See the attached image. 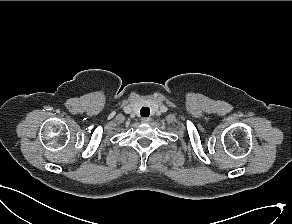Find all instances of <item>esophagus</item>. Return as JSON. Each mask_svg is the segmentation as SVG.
<instances>
[{
  "label": "esophagus",
  "mask_w": 292,
  "mask_h": 224,
  "mask_svg": "<svg viewBox=\"0 0 292 224\" xmlns=\"http://www.w3.org/2000/svg\"><path fill=\"white\" fill-rule=\"evenodd\" d=\"M142 122L143 123H150L151 122V118H142Z\"/></svg>",
  "instance_id": "34e87169"
}]
</instances>
